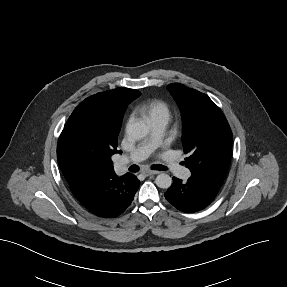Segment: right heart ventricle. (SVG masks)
Here are the masks:
<instances>
[{"label": "right heart ventricle", "mask_w": 287, "mask_h": 287, "mask_svg": "<svg viewBox=\"0 0 287 287\" xmlns=\"http://www.w3.org/2000/svg\"><path fill=\"white\" fill-rule=\"evenodd\" d=\"M137 111L145 117L149 123L152 121H163L167 124L171 118L170 107L163 100L153 99L143 102L137 106Z\"/></svg>", "instance_id": "right-heart-ventricle-1"}]
</instances>
